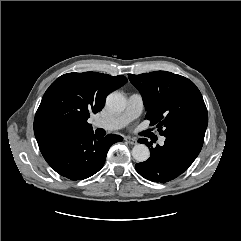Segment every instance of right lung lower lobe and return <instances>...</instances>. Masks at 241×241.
I'll return each instance as SVG.
<instances>
[{
    "instance_id": "98d812e1",
    "label": "right lung lower lobe",
    "mask_w": 241,
    "mask_h": 241,
    "mask_svg": "<svg viewBox=\"0 0 241 241\" xmlns=\"http://www.w3.org/2000/svg\"><path fill=\"white\" fill-rule=\"evenodd\" d=\"M122 137L109 134L97 137L93 131L67 133L39 142L47 163L60 175L83 180L97 173L104 165L110 146Z\"/></svg>"
}]
</instances>
